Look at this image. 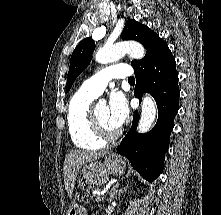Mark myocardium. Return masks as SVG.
Here are the masks:
<instances>
[{
	"instance_id": "1",
	"label": "myocardium",
	"mask_w": 221,
	"mask_h": 215,
	"mask_svg": "<svg viewBox=\"0 0 221 215\" xmlns=\"http://www.w3.org/2000/svg\"><path fill=\"white\" fill-rule=\"evenodd\" d=\"M95 108L96 106H90L89 114H90V120H91L93 129L96 135L104 141H112V140L117 139L121 134V130L120 129H116V130L107 129L98 119Z\"/></svg>"
}]
</instances>
